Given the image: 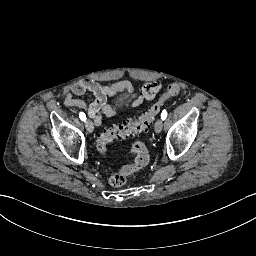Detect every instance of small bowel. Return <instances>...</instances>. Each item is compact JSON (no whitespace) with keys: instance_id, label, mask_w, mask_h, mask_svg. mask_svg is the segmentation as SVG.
<instances>
[{"instance_id":"1","label":"small bowel","mask_w":256,"mask_h":256,"mask_svg":"<svg viewBox=\"0 0 256 256\" xmlns=\"http://www.w3.org/2000/svg\"><path fill=\"white\" fill-rule=\"evenodd\" d=\"M162 85L158 81L146 83L139 91L129 81H118L110 85H103L94 80H82L65 92L64 105L67 108H77L87 111L96 125H101L103 117L111 118L116 115L119 109L118 97L121 94L130 95L129 104L139 105L143 100H153L160 92ZM92 93L95 100L88 106L82 99L77 98L85 93ZM108 98H113V102L108 103Z\"/></svg>"}]
</instances>
